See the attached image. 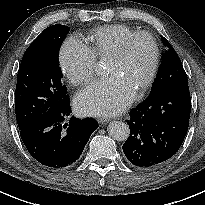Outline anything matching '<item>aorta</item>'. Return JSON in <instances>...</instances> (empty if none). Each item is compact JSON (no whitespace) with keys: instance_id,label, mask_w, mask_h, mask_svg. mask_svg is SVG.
Instances as JSON below:
<instances>
[{"instance_id":"aorta-1","label":"aorta","mask_w":205,"mask_h":205,"mask_svg":"<svg viewBox=\"0 0 205 205\" xmlns=\"http://www.w3.org/2000/svg\"><path fill=\"white\" fill-rule=\"evenodd\" d=\"M129 127L121 121H113L108 125V134L114 140L124 141L129 136Z\"/></svg>"}]
</instances>
